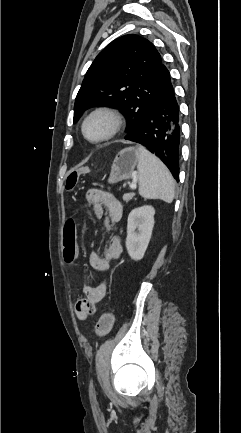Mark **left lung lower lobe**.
Returning <instances> with one entry per match:
<instances>
[{
  "mask_svg": "<svg viewBox=\"0 0 241 433\" xmlns=\"http://www.w3.org/2000/svg\"><path fill=\"white\" fill-rule=\"evenodd\" d=\"M125 139L146 146L179 179L180 112L170 74L160 96Z\"/></svg>",
  "mask_w": 241,
  "mask_h": 433,
  "instance_id": "1",
  "label": "left lung lower lobe"
}]
</instances>
